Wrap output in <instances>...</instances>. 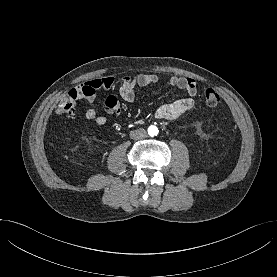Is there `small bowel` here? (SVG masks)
I'll list each match as a JSON object with an SVG mask.
<instances>
[{"instance_id": "small-bowel-1", "label": "small bowel", "mask_w": 277, "mask_h": 277, "mask_svg": "<svg viewBox=\"0 0 277 277\" xmlns=\"http://www.w3.org/2000/svg\"><path fill=\"white\" fill-rule=\"evenodd\" d=\"M160 82V78L155 74H138L135 76L123 77L118 89L119 96L128 103L136 100L135 88L156 85ZM115 78L111 76L92 79L80 87L83 91L81 97L85 99L90 107L87 109L85 116L88 120L104 125L107 118L99 115L94 108L96 94L99 90H110L115 86ZM170 86L186 91L187 97L177 99L170 103H165L157 108L155 117L164 120H175L184 113L190 111L194 105V97L197 94V85L194 79L172 76L168 79ZM105 107L108 114H119L120 103L116 96L110 95L106 98Z\"/></svg>"}]
</instances>
